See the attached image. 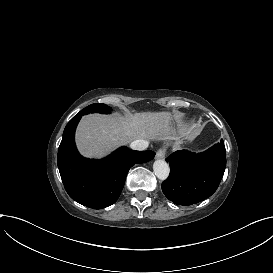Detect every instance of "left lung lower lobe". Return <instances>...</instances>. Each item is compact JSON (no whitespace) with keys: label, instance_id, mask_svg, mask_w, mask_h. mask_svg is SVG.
<instances>
[{"label":"left lung lower lobe","instance_id":"left-lung-lower-lobe-1","mask_svg":"<svg viewBox=\"0 0 273 273\" xmlns=\"http://www.w3.org/2000/svg\"><path fill=\"white\" fill-rule=\"evenodd\" d=\"M166 160L171 173L162 183V191L170 201L186 206L203 201L216 191L226 167V150L221 140L205 152L179 150Z\"/></svg>","mask_w":273,"mask_h":273}]
</instances>
